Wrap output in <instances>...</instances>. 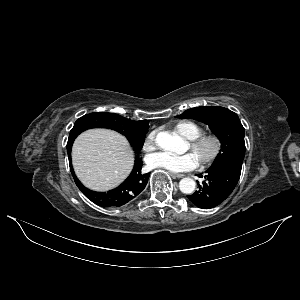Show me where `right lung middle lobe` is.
<instances>
[{
    "label": "right lung middle lobe",
    "mask_w": 300,
    "mask_h": 300,
    "mask_svg": "<svg viewBox=\"0 0 300 300\" xmlns=\"http://www.w3.org/2000/svg\"><path fill=\"white\" fill-rule=\"evenodd\" d=\"M90 128H109L127 137L132 146L142 148L149 124L144 127H134L128 124L122 116L113 113L96 112L79 118L70 131L67 146L83 131Z\"/></svg>",
    "instance_id": "obj_1"
}]
</instances>
